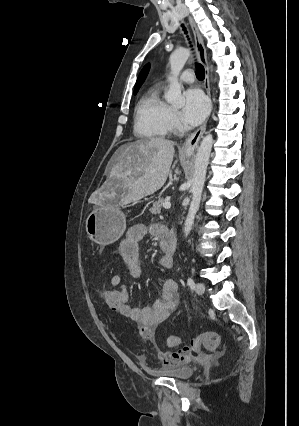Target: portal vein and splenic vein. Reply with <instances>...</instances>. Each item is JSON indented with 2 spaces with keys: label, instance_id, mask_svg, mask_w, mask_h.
I'll list each match as a JSON object with an SVG mask.
<instances>
[{
  "label": "portal vein and splenic vein",
  "instance_id": "1",
  "mask_svg": "<svg viewBox=\"0 0 299 426\" xmlns=\"http://www.w3.org/2000/svg\"><path fill=\"white\" fill-rule=\"evenodd\" d=\"M163 207H164V208H166V209H169V208L171 207L170 202L165 201V202L163 203Z\"/></svg>",
  "mask_w": 299,
  "mask_h": 426
}]
</instances>
